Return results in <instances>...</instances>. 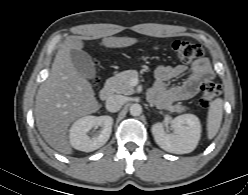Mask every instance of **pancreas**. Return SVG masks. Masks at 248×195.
<instances>
[{
  "label": "pancreas",
  "instance_id": "1",
  "mask_svg": "<svg viewBox=\"0 0 248 195\" xmlns=\"http://www.w3.org/2000/svg\"><path fill=\"white\" fill-rule=\"evenodd\" d=\"M138 77V72L136 70H127L116 74L107 81V87L115 93L131 95L134 93V88L131 85V80ZM185 107L180 103L169 107L170 112H182Z\"/></svg>",
  "mask_w": 248,
  "mask_h": 195
}]
</instances>
